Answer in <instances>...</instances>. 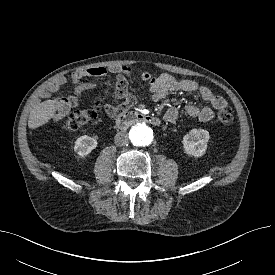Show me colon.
Returning a JSON list of instances; mask_svg holds the SVG:
<instances>
[{"instance_id": "1", "label": "colon", "mask_w": 275, "mask_h": 275, "mask_svg": "<svg viewBox=\"0 0 275 275\" xmlns=\"http://www.w3.org/2000/svg\"><path fill=\"white\" fill-rule=\"evenodd\" d=\"M99 103H94L91 107L84 110L72 111L64 122V128L67 131H76L97 117ZM218 120L222 124H230L233 121V112L230 107L225 106L218 111Z\"/></svg>"}]
</instances>
